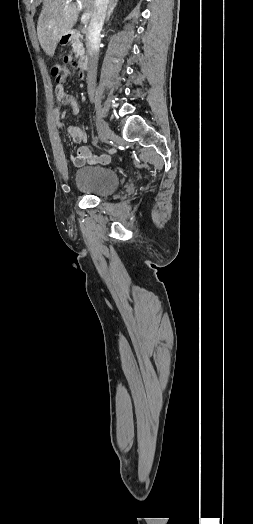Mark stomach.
<instances>
[{"label":"stomach","mask_w":253,"mask_h":524,"mask_svg":"<svg viewBox=\"0 0 253 524\" xmlns=\"http://www.w3.org/2000/svg\"><path fill=\"white\" fill-rule=\"evenodd\" d=\"M64 36H67V35H66V34L63 35V36L59 39V41H58L59 43H61V41L63 40ZM66 40H67V39H66ZM66 43H67V42H64L63 44H66Z\"/></svg>","instance_id":"1"}]
</instances>
